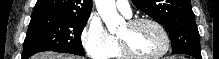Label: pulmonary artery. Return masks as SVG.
<instances>
[{
	"label": "pulmonary artery",
	"instance_id": "pulmonary-artery-1",
	"mask_svg": "<svg viewBox=\"0 0 219 59\" xmlns=\"http://www.w3.org/2000/svg\"><path fill=\"white\" fill-rule=\"evenodd\" d=\"M117 9L127 17H130L132 14L131 6L129 1H116L115 2Z\"/></svg>",
	"mask_w": 219,
	"mask_h": 59
}]
</instances>
